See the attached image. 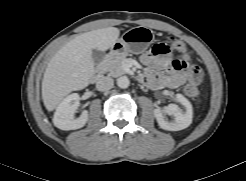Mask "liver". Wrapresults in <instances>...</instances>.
I'll use <instances>...</instances> for the list:
<instances>
[{
	"mask_svg": "<svg viewBox=\"0 0 246 181\" xmlns=\"http://www.w3.org/2000/svg\"><path fill=\"white\" fill-rule=\"evenodd\" d=\"M115 27L92 30L78 35L49 61L42 80V99L48 111H53L72 91L82 90L94 73L92 50L106 51L118 40Z\"/></svg>",
	"mask_w": 246,
	"mask_h": 181,
	"instance_id": "1",
	"label": "liver"
}]
</instances>
